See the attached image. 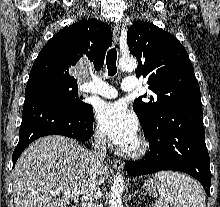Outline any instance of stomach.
Returning a JSON list of instances; mask_svg holds the SVG:
<instances>
[{
  "mask_svg": "<svg viewBox=\"0 0 220 207\" xmlns=\"http://www.w3.org/2000/svg\"><path fill=\"white\" fill-rule=\"evenodd\" d=\"M144 188L150 192L151 194H156L158 191V186L155 180L153 179H148L145 183H144Z\"/></svg>",
  "mask_w": 220,
  "mask_h": 207,
  "instance_id": "1",
  "label": "stomach"
}]
</instances>
